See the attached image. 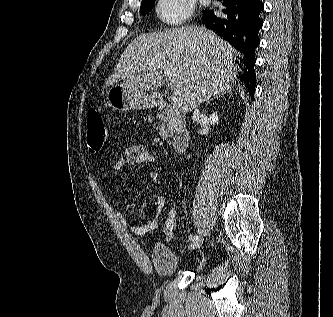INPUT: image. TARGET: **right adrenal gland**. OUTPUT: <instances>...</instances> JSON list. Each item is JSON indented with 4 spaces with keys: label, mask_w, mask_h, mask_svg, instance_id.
I'll return each mask as SVG.
<instances>
[{
    "label": "right adrenal gland",
    "mask_w": 333,
    "mask_h": 317,
    "mask_svg": "<svg viewBox=\"0 0 333 317\" xmlns=\"http://www.w3.org/2000/svg\"><path fill=\"white\" fill-rule=\"evenodd\" d=\"M225 94L232 95V91H231V90H228V91H226V92L217 93L216 95H213V96L207 101V103H210V101H212L213 99H216V98H218V97H220V96H224ZM207 103H206V104H207Z\"/></svg>",
    "instance_id": "2a0ac1e0"
}]
</instances>
